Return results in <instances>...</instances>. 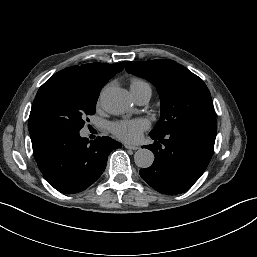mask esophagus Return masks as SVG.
I'll return each mask as SVG.
<instances>
[{"mask_svg": "<svg viewBox=\"0 0 257 257\" xmlns=\"http://www.w3.org/2000/svg\"><path fill=\"white\" fill-rule=\"evenodd\" d=\"M124 146H125V148L130 149V150H138L139 149V146H135V145L125 144Z\"/></svg>", "mask_w": 257, "mask_h": 257, "instance_id": "obj_1", "label": "esophagus"}]
</instances>
